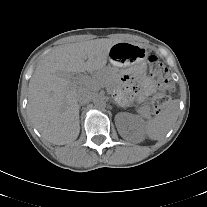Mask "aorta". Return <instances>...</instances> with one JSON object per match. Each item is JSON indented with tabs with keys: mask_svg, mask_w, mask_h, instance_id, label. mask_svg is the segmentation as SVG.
<instances>
[{
	"mask_svg": "<svg viewBox=\"0 0 207 207\" xmlns=\"http://www.w3.org/2000/svg\"><path fill=\"white\" fill-rule=\"evenodd\" d=\"M94 104L97 108H105L106 107V101L104 98H97L95 100Z\"/></svg>",
	"mask_w": 207,
	"mask_h": 207,
	"instance_id": "obj_1",
	"label": "aorta"
}]
</instances>
